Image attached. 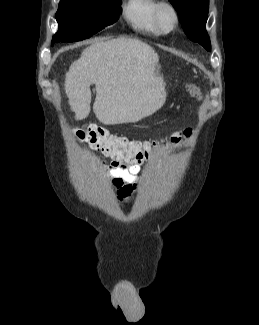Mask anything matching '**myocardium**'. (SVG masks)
Wrapping results in <instances>:
<instances>
[{"label": "myocardium", "instance_id": "f54148a6", "mask_svg": "<svg viewBox=\"0 0 259 325\" xmlns=\"http://www.w3.org/2000/svg\"><path fill=\"white\" fill-rule=\"evenodd\" d=\"M163 9H168L171 11L173 15V24L169 29H165L162 26L161 19H160V14ZM153 18L156 27L162 34H169L173 32L177 26L179 25L180 22V14L178 8L170 1H160L156 5L154 12H153Z\"/></svg>", "mask_w": 259, "mask_h": 325}]
</instances>
